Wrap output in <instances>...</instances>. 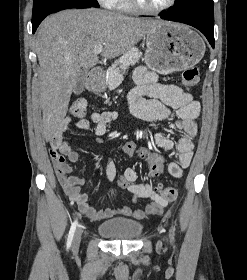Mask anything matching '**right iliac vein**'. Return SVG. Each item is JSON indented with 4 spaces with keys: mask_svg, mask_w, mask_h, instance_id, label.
I'll return each mask as SVG.
<instances>
[{
    "mask_svg": "<svg viewBox=\"0 0 247 280\" xmlns=\"http://www.w3.org/2000/svg\"><path fill=\"white\" fill-rule=\"evenodd\" d=\"M82 228L79 227L77 230H76V233H75V236H74V239H73V245H72V249L73 251H77L78 248H79V245H80V241H81V236H82Z\"/></svg>",
    "mask_w": 247,
    "mask_h": 280,
    "instance_id": "63e3f726",
    "label": "right iliac vein"
}]
</instances>
